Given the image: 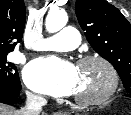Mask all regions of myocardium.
Segmentation results:
<instances>
[{
	"instance_id": "obj_1",
	"label": "myocardium",
	"mask_w": 131,
	"mask_h": 115,
	"mask_svg": "<svg viewBox=\"0 0 131 115\" xmlns=\"http://www.w3.org/2000/svg\"><path fill=\"white\" fill-rule=\"evenodd\" d=\"M90 62H97L101 64L107 70L110 81L108 87L102 93L94 97L85 98V97L75 96L74 101L83 106H94V105L102 104L103 102L107 101L115 94L119 86L118 72L114 67V65L108 59L97 54L87 55L80 58L77 62V65L79 67Z\"/></svg>"
}]
</instances>
